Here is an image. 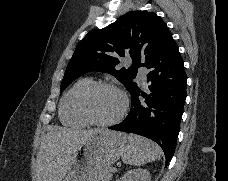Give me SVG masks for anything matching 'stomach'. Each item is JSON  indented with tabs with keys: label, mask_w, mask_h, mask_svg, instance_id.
Returning a JSON list of instances; mask_svg holds the SVG:
<instances>
[{
	"label": "stomach",
	"mask_w": 228,
	"mask_h": 181,
	"mask_svg": "<svg viewBox=\"0 0 228 181\" xmlns=\"http://www.w3.org/2000/svg\"><path fill=\"white\" fill-rule=\"evenodd\" d=\"M128 137L116 131H96L77 149L72 165L63 181H107L106 169L121 157Z\"/></svg>",
	"instance_id": "stomach-1"
}]
</instances>
